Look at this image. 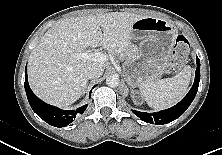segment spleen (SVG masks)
<instances>
[{
	"instance_id": "spleen-1",
	"label": "spleen",
	"mask_w": 222,
	"mask_h": 155,
	"mask_svg": "<svg viewBox=\"0 0 222 155\" xmlns=\"http://www.w3.org/2000/svg\"><path fill=\"white\" fill-rule=\"evenodd\" d=\"M191 79V68L171 78L151 81L140 85V92L146 103L154 109H164L177 104L186 95Z\"/></svg>"
}]
</instances>
